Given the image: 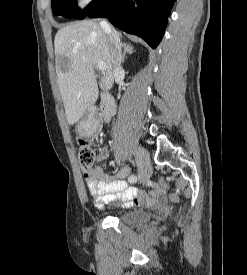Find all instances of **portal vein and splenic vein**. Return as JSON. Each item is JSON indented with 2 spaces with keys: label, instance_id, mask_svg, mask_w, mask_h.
<instances>
[{
  "label": "portal vein and splenic vein",
  "instance_id": "18ae733b",
  "mask_svg": "<svg viewBox=\"0 0 247 275\" xmlns=\"http://www.w3.org/2000/svg\"><path fill=\"white\" fill-rule=\"evenodd\" d=\"M97 68H98L100 71L104 72V71H106L107 66H106V64H105L104 62H99V63L97 64Z\"/></svg>",
  "mask_w": 247,
  "mask_h": 275
}]
</instances>
